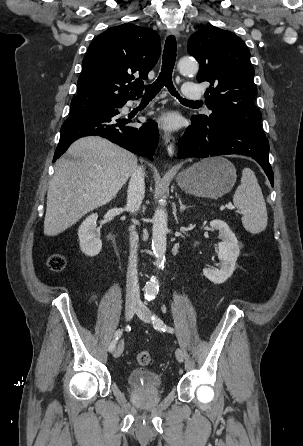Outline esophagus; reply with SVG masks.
<instances>
[{"label": "esophagus", "instance_id": "esophagus-1", "mask_svg": "<svg viewBox=\"0 0 303 446\" xmlns=\"http://www.w3.org/2000/svg\"><path fill=\"white\" fill-rule=\"evenodd\" d=\"M170 34L176 38L180 36V32L177 28L170 30ZM162 137L166 146L167 153L170 157H172L175 151V137L168 131H164Z\"/></svg>", "mask_w": 303, "mask_h": 446}]
</instances>
